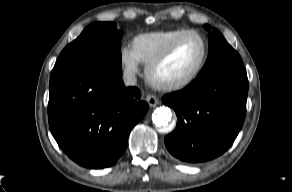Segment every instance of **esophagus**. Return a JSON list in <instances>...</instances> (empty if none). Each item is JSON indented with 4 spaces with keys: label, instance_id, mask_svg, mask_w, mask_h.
I'll return each instance as SVG.
<instances>
[{
    "label": "esophagus",
    "instance_id": "1",
    "mask_svg": "<svg viewBox=\"0 0 292 192\" xmlns=\"http://www.w3.org/2000/svg\"><path fill=\"white\" fill-rule=\"evenodd\" d=\"M146 100L150 107H156L159 104V99L155 95H148Z\"/></svg>",
    "mask_w": 292,
    "mask_h": 192
}]
</instances>
